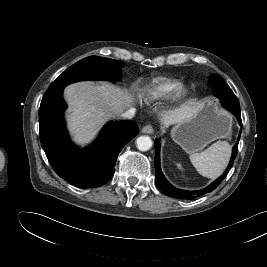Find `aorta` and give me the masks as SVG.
<instances>
[{"mask_svg":"<svg viewBox=\"0 0 267 267\" xmlns=\"http://www.w3.org/2000/svg\"><path fill=\"white\" fill-rule=\"evenodd\" d=\"M136 144L140 151H147L152 147V140L148 136H140L137 138Z\"/></svg>","mask_w":267,"mask_h":267,"instance_id":"obj_1","label":"aorta"}]
</instances>
